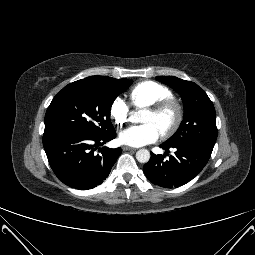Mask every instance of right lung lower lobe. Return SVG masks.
<instances>
[{"mask_svg": "<svg viewBox=\"0 0 255 255\" xmlns=\"http://www.w3.org/2000/svg\"><path fill=\"white\" fill-rule=\"evenodd\" d=\"M116 137L115 130L103 136L78 131L47 132L43 146L58 179L69 187L87 190L100 185L121 154V148H99Z\"/></svg>", "mask_w": 255, "mask_h": 255, "instance_id": "right-lung-lower-lobe-1", "label": "right lung lower lobe"}]
</instances>
